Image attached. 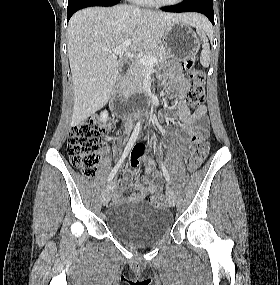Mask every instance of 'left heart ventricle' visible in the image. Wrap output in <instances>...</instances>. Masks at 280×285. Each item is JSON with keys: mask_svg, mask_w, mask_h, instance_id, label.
<instances>
[{"mask_svg": "<svg viewBox=\"0 0 280 285\" xmlns=\"http://www.w3.org/2000/svg\"><path fill=\"white\" fill-rule=\"evenodd\" d=\"M160 1H163V2H168V1H172V0H160Z\"/></svg>", "mask_w": 280, "mask_h": 285, "instance_id": "1", "label": "left heart ventricle"}]
</instances>
